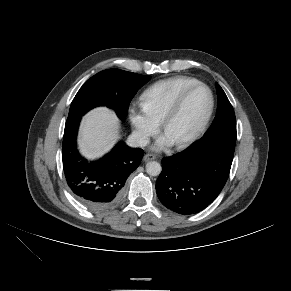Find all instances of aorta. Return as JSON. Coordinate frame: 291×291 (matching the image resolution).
<instances>
[{
	"label": "aorta",
	"instance_id": "aorta-1",
	"mask_svg": "<svg viewBox=\"0 0 291 291\" xmlns=\"http://www.w3.org/2000/svg\"><path fill=\"white\" fill-rule=\"evenodd\" d=\"M162 167L156 161H151L146 164V172L151 176H157L161 173Z\"/></svg>",
	"mask_w": 291,
	"mask_h": 291
}]
</instances>
